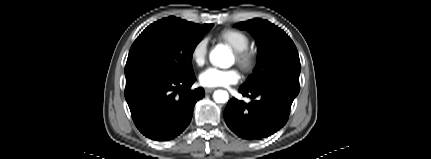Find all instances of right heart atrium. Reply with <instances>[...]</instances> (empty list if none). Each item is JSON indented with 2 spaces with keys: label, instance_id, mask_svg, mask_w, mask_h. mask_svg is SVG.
I'll list each match as a JSON object with an SVG mask.
<instances>
[{
  "label": "right heart atrium",
  "instance_id": "1",
  "mask_svg": "<svg viewBox=\"0 0 431 159\" xmlns=\"http://www.w3.org/2000/svg\"><path fill=\"white\" fill-rule=\"evenodd\" d=\"M208 51V40L206 38L199 39L191 48V60L198 66L205 63Z\"/></svg>",
  "mask_w": 431,
  "mask_h": 159
}]
</instances>
